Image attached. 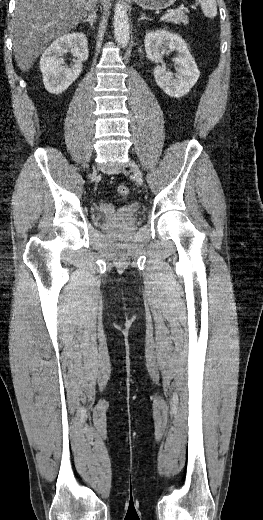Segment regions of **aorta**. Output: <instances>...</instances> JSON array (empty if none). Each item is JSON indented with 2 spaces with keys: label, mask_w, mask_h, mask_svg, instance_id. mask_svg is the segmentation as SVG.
Segmentation results:
<instances>
[{
  "label": "aorta",
  "mask_w": 263,
  "mask_h": 520,
  "mask_svg": "<svg viewBox=\"0 0 263 520\" xmlns=\"http://www.w3.org/2000/svg\"><path fill=\"white\" fill-rule=\"evenodd\" d=\"M113 27L116 42L119 46L123 48L126 47L129 43L130 33L127 9L124 5V0H118L116 3Z\"/></svg>",
  "instance_id": "1"
}]
</instances>
